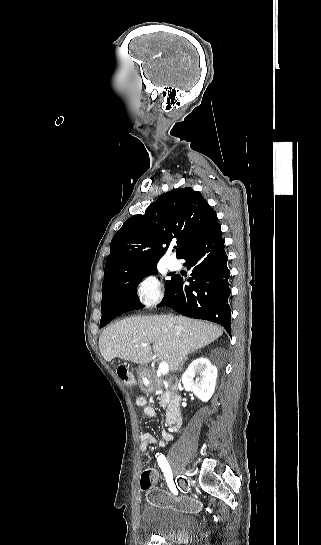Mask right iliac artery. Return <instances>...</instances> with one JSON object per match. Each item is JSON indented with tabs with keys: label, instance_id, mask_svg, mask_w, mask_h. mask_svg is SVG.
<instances>
[{
	"label": "right iliac artery",
	"instance_id": "1",
	"mask_svg": "<svg viewBox=\"0 0 321 545\" xmlns=\"http://www.w3.org/2000/svg\"><path fill=\"white\" fill-rule=\"evenodd\" d=\"M156 457H157L158 465H159V467L161 468V470L164 473V476L166 478V482H167L170 490L174 494H177L178 492H177L176 486H175L174 481H173L172 470H171L165 456L163 454H161V453H157Z\"/></svg>",
	"mask_w": 321,
	"mask_h": 545
}]
</instances>
